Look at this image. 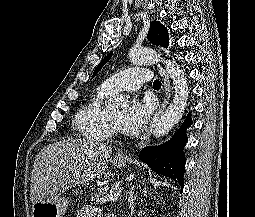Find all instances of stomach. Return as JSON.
<instances>
[{
  "instance_id": "1",
  "label": "stomach",
  "mask_w": 255,
  "mask_h": 217,
  "mask_svg": "<svg viewBox=\"0 0 255 217\" xmlns=\"http://www.w3.org/2000/svg\"><path fill=\"white\" fill-rule=\"evenodd\" d=\"M126 158L120 155L115 156L113 165L117 168H122L126 165ZM69 206V201L57 194L50 199H43L33 204L32 217H62Z\"/></svg>"
}]
</instances>
